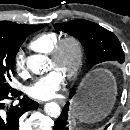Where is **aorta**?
Here are the masks:
<instances>
[{"mask_svg": "<svg viewBox=\"0 0 130 130\" xmlns=\"http://www.w3.org/2000/svg\"><path fill=\"white\" fill-rule=\"evenodd\" d=\"M27 67L35 74H43L50 70L48 58L39 54L31 55L27 58ZM44 111L52 118H57L61 114V108L55 102L46 103Z\"/></svg>", "mask_w": 130, "mask_h": 130, "instance_id": "aorta-1", "label": "aorta"}]
</instances>
